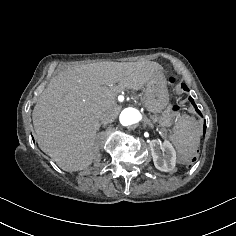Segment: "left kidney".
<instances>
[{"label":"left kidney","instance_id":"obj_1","mask_svg":"<svg viewBox=\"0 0 236 236\" xmlns=\"http://www.w3.org/2000/svg\"><path fill=\"white\" fill-rule=\"evenodd\" d=\"M149 145L155 167L163 172L171 171L176 161V153L173 147L159 139L151 140Z\"/></svg>","mask_w":236,"mask_h":236}]
</instances>
